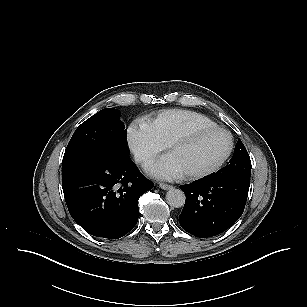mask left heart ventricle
Returning <instances> with one entry per match:
<instances>
[{"label": "left heart ventricle", "mask_w": 307, "mask_h": 307, "mask_svg": "<svg viewBox=\"0 0 307 307\" xmlns=\"http://www.w3.org/2000/svg\"><path fill=\"white\" fill-rule=\"evenodd\" d=\"M229 145L230 140L225 133L211 132L167 154L182 174H188L217 164L227 153Z\"/></svg>", "instance_id": "left-heart-ventricle-1"}]
</instances>
